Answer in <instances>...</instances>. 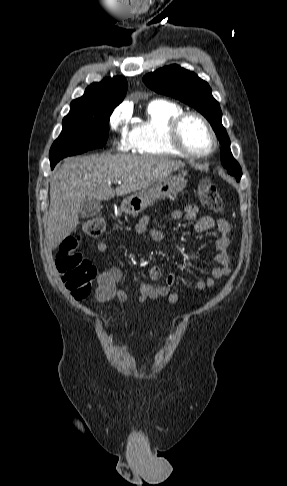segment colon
Segmentation results:
<instances>
[{
  "mask_svg": "<svg viewBox=\"0 0 287 486\" xmlns=\"http://www.w3.org/2000/svg\"><path fill=\"white\" fill-rule=\"evenodd\" d=\"M199 197L206 208L215 213L222 212V197L216 185L209 179L200 181ZM105 228L106 222L104 218L96 216L84 222L82 232L87 237L95 238L100 236L105 231ZM78 244V237L68 238L61 244L56 256V267L71 295L76 300H83L92 291L97 277V270L89 260L77 252Z\"/></svg>",
  "mask_w": 287,
  "mask_h": 486,
  "instance_id": "obj_1",
  "label": "colon"
}]
</instances>
